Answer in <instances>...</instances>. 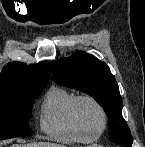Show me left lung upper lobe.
Masks as SVG:
<instances>
[{"mask_svg":"<svg viewBox=\"0 0 145 147\" xmlns=\"http://www.w3.org/2000/svg\"><path fill=\"white\" fill-rule=\"evenodd\" d=\"M54 81L92 96L108 116L110 141L132 146L130 129L122 117L119 87L109 67L95 56L78 51L68 58L51 62Z\"/></svg>","mask_w":145,"mask_h":147,"instance_id":"obj_1","label":"left lung upper lobe"}]
</instances>
